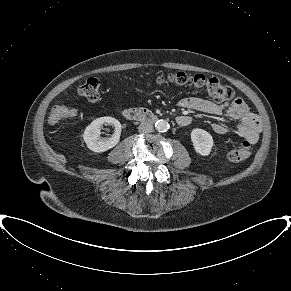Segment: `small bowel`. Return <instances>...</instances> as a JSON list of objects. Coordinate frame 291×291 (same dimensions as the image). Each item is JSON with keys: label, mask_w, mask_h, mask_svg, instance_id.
Returning a JSON list of instances; mask_svg holds the SVG:
<instances>
[{"label": "small bowel", "mask_w": 291, "mask_h": 291, "mask_svg": "<svg viewBox=\"0 0 291 291\" xmlns=\"http://www.w3.org/2000/svg\"><path fill=\"white\" fill-rule=\"evenodd\" d=\"M179 106L186 109L196 110L218 118L227 117L239 121L238 133L250 143H256L261 132V122L256 114L251 112L247 104L240 98L231 102L214 103L210 100L199 97H186L179 101ZM180 126H187L191 123V117L180 115L176 119ZM212 129L217 134H225L228 127L220 122H214Z\"/></svg>", "instance_id": "small-bowel-1"}]
</instances>
